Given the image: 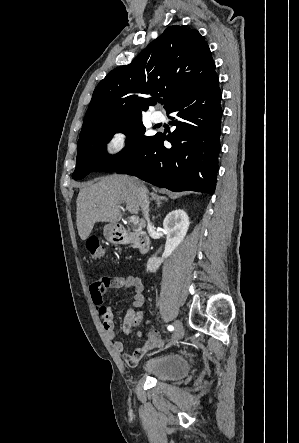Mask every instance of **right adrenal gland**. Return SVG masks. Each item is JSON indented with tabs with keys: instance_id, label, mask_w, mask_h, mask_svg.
Segmentation results:
<instances>
[{
	"instance_id": "2a0ac1e0",
	"label": "right adrenal gland",
	"mask_w": 299,
	"mask_h": 443,
	"mask_svg": "<svg viewBox=\"0 0 299 443\" xmlns=\"http://www.w3.org/2000/svg\"><path fill=\"white\" fill-rule=\"evenodd\" d=\"M153 199L156 200V208H155V210L161 206L163 201H167L166 197L158 196V195H153ZM154 219H155V217H153V220Z\"/></svg>"
}]
</instances>
